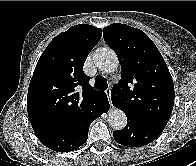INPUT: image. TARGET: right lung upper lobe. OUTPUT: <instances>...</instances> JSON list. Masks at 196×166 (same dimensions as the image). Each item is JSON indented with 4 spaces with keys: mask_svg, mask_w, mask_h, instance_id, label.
<instances>
[{
    "mask_svg": "<svg viewBox=\"0 0 196 166\" xmlns=\"http://www.w3.org/2000/svg\"><path fill=\"white\" fill-rule=\"evenodd\" d=\"M102 30L79 24L57 35L46 47L31 78L27 111L34 132L78 126L88 109L107 96L89 84L83 72Z\"/></svg>",
    "mask_w": 196,
    "mask_h": 166,
    "instance_id": "obj_1",
    "label": "right lung upper lobe"
}]
</instances>
